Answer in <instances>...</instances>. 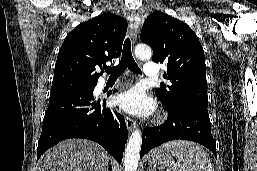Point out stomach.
I'll use <instances>...</instances> for the list:
<instances>
[{
    "instance_id": "obj_1",
    "label": "stomach",
    "mask_w": 257,
    "mask_h": 171,
    "mask_svg": "<svg viewBox=\"0 0 257 171\" xmlns=\"http://www.w3.org/2000/svg\"><path fill=\"white\" fill-rule=\"evenodd\" d=\"M174 161L175 159L171 152L164 149L163 147L155 149L152 152L150 159V163L159 170H162L164 168L170 169Z\"/></svg>"
}]
</instances>
